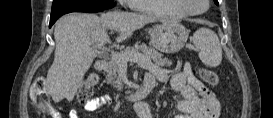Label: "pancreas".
Instances as JSON below:
<instances>
[{
  "instance_id": "cf45deb5",
  "label": "pancreas",
  "mask_w": 273,
  "mask_h": 118,
  "mask_svg": "<svg viewBox=\"0 0 273 118\" xmlns=\"http://www.w3.org/2000/svg\"><path fill=\"white\" fill-rule=\"evenodd\" d=\"M142 51L144 56H147L149 60H152L155 64L159 66H171L172 62L167 58H163V55L159 53L152 47H148L146 44H138L136 43L134 47H128L124 51L120 52V56H112L111 61L109 62V66L107 69L106 82L107 84H111L114 88H117L118 91L123 90L124 84L121 77V69L126 67L127 62L122 59V55L127 52H138ZM127 87L132 88L133 83L127 82Z\"/></svg>"
}]
</instances>
